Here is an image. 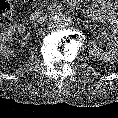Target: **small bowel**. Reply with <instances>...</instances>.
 Segmentation results:
<instances>
[{
  "mask_svg": "<svg viewBox=\"0 0 118 118\" xmlns=\"http://www.w3.org/2000/svg\"><path fill=\"white\" fill-rule=\"evenodd\" d=\"M108 15L112 17L113 31L118 34V18H117V16H115V11L112 10V12H108Z\"/></svg>",
  "mask_w": 118,
  "mask_h": 118,
  "instance_id": "c3829d8e",
  "label": "small bowel"
}]
</instances>
